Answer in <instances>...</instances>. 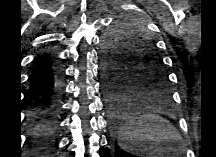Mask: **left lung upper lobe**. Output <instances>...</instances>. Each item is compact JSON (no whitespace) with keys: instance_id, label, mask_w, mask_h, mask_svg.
Listing matches in <instances>:
<instances>
[{"instance_id":"5c2ea615","label":"left lung upper lobe","mask_w":216,"mask_h":157,"mask_svg":"<svg viewBox=\"0 0 216 157\" xmlns=\"http://www.w3.org/2000/svg\"><path fill=\"white\" fill-rule=\"evenodd\" d=\"M107 72L121 79L133 95L166 97L169 78L155 42L135 18L117 21L103 38Z\"/></svg>"}]
</instances>
